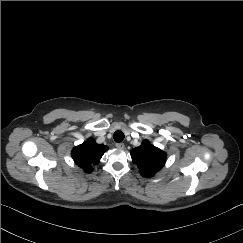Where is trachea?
Listing matches in <instances>:
<instances>
[{"label": "trachea", "instance_id": "1", "mask_svg": "<svg viewBox=\"0 0 243 243\" xmlns=\"http://www.w3.org/2000/svg\"><path fill=\"white\" fill-rule=\"evenodd\" d=\"M113 138L116 142H121L124 139V133L118 130L114 133Z\"/></svg>", "mask_w": 243, "mask_h": 243}]
</instances>
